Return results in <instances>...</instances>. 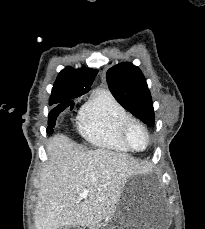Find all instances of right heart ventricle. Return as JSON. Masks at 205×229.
Returning <instances> with one entry per match:
<instances>
[{"instance_id":"1","label":"right heart ventricle","mask_w":205,"mask_h":229,"mask_svg":"<svg viewBox=\"0 0 205 229\" xmlns=\"http://www.w3.org/2000/svg\"><path fill=\"white\" fill-rule=\"evenodd\" d=\"M129 118L128 111L111 93L98 91L83 106L78 128L82 136L97 147L129 152L121 137L122 126Z\"/></svg>"}]
</instances>
